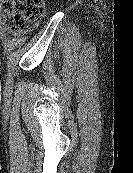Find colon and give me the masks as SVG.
Here are the masks:
<instances>
[{"label": "colon", "mask_w": 133, "mask_h": 173, "mask_svg": "<svg viewBox=\"0 0 133 173\" xmlns=\"http://www.w3.org/2000/svg\"><path fill=\"white\" fill-rule=\"evenodd\" d=\"M7 24L19 35L32 29L44 16V0H3Z\"/></svg>", "instance_id": "obj_1"}]
</instances>
